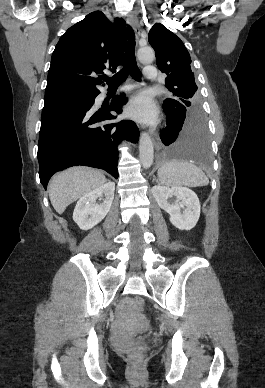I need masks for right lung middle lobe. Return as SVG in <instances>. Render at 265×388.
Returning a JSON list of instances; mask_svg holds the SVG:
<instances>
[{
	"instance_id": "1",
	"label": "right lung middle lobe",
	"mask_w": 265,
	"mask_h": 388,
	"mask_svg": "<svg viewBox=\"0 0 265 388\" xmlns=\"http://www.w3.org/2000/svg\"><path fill=\"white\" fill-rule=\"evenodd\" d=\"M90 95H79V96H67L46 99L43 107V111H47L65 104L80 102L86 100Z\"/></svg>"
}]
</instances>
